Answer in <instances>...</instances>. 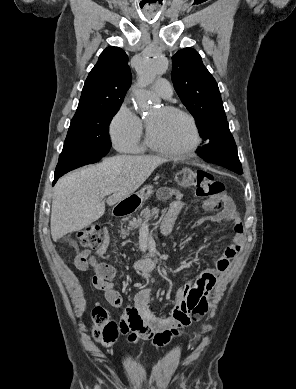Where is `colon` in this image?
<instances>
[{
	"mask_svg": "<svg viewBox=\"0 0 296 389\" xmlns=\"http://www.w3.org/2000/svg\"><path fill=\"white\" fill-rule=\"evenodd\" d=\"M176 181L182 187H193L196 197L202 199L209 207L221 205L226 197L223 183L201 169H182L177 173ZM77 239L82 246L88 248H99L104 244L101 228L96 224H90L81 229L77 233ZM79 263L82 264V259ZM92 320L94 337L98 342L108 345L115 341L119 328L117 323L109 318L105 308H95L92 312Z\"/></svg>",
	"mask_w": 296,
	"mask_h": 389,
	"instance_id": "5ec220e1",
	"label": "colon"
}]
</instances>
